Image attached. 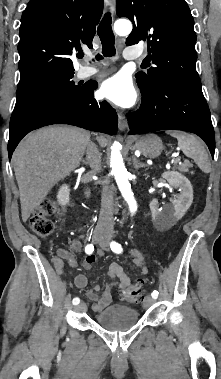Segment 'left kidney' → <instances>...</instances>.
<instances>
[{
    "label": "left kidney",
    "instance_id": "1",
    "mask_svg": "<svg viewBox=\"0 0 221 379\" xmlns=\"http://www.w3.org/2000/svg\"><path fill=\"white\" fill-rule=\"evenodd\" d=\"M162 177L173 186L178 187L180 195L175 196L171 206L160 208L156 199L150 203V210L152 213L153 221L156 225L169 228L179 221L189 209L193 202V188L190 181L181 173L175 171H168L162 174Z\"/></svg>",
    "mask_w": 221,
    "mask_h": 379
}]
</instances>
